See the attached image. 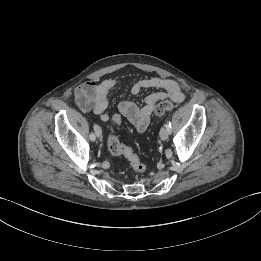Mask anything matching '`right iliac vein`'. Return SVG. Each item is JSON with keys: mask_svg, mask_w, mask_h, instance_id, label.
Masks as SVG:
<instances>
[{"mask_svg": "<svg viewBox=\"0 0 261 261\" xmlns=\"http://www.w3.org/2000/svg\"><path fill=\"white\" fill-rule=\"evenodd\" d=\"M95 134L98 138L102 136V130L99 126L96 128Z\"/></svg>", "mask_w": 261, "mask_h": 261, "instance_id": "63e3f726", "label": "right iliac vein"}]
</instances>
